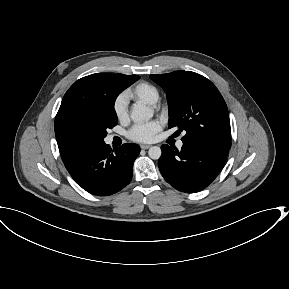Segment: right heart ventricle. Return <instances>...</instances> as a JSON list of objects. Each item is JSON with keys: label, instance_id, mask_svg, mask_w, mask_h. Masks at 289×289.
I'll return each instance as SVG.
<instances>
[{"label": "right heart ventricle", "instance_id": "obj_1", "mask_svg": "<svg viewBox=\"0 0 289 289\" xmlns=\"http://www.w3.org/2000/svg\"><path fill=\"white\" fill-rule=\"evenodd\" d=\"M127 99L154 105L159 100L158 88L149 82H139L124 94Z\"/></svg>", "mask_w": 289, "mask_h": 289}]
</instances>
